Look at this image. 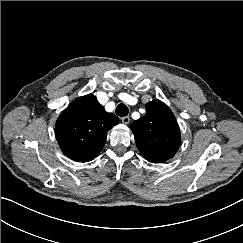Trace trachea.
I'll return each instance as SVG.
<instances>
[{
    "label": "trachea",
    "mask_w": 243,
    "mask_h": 243,
    "mask_svg": "<svg viewBox=\"0 0 243 243\" xmlns=\"http://www.w3.org/2000/svg\"><path fill=\"white\" fill-rule=\"evenodd\" d=\"M129 113V110H128V107L125 105V104H119L117 107H116V114L118 116H127Z\"/></svg>",
    "instance_id": "3493384b"
}]
</instances>
